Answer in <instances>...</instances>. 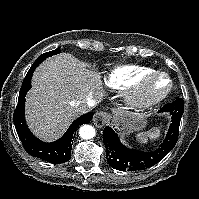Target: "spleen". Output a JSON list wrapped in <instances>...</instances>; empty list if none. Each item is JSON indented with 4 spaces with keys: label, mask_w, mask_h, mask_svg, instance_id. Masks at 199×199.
Listing matches in <instances>:
<instances>
[{
    "label": "spleen",
    "mask_w": 199,
    "mask_h": 199,
    "mask_svg": "<svg viewBox=\"0 0 199 199\" xmlns=\"http://www.w3.org/2000/svg\"><path fill=\"white\" fill-rule=\"evenodd\" d=\"M161 135V129L160 128H152L151 130H149L148 132H142L136 135L138 142L141 144H147L148 143V139H150L151 141H155L156 139H158Z\"/></svg>",
    "instance_id": "spleen-1"
}]
</instances>
